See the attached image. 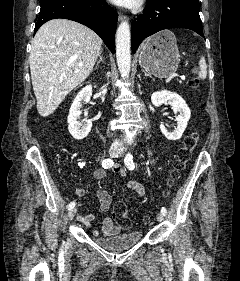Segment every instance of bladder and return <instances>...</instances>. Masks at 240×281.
<instances>
[{
  "label": "bladder",
  "instance_id": "bladder-1",
  "mask_svg": "<svg viewBox=\"0 0 240 281\" xmlns=\"http://www.w3.org/2000/svg\"><path fill=\"white\" fill-rule=\"evenodd\" d=\"M141 239L142 233L139 231H131L111 236L94 237V241L97 245L110 251H123L130 249L138 244Z\"/></svg>",
  "mask_w": 240,
  "mask_h": 281
}]
</instances>
